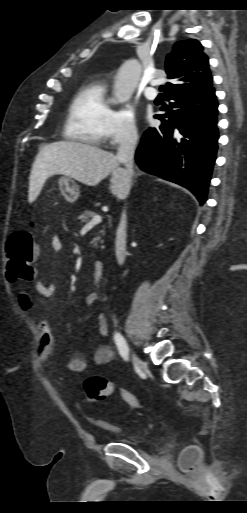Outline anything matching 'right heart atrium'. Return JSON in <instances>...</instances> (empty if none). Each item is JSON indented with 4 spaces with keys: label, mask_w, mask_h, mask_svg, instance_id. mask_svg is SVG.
Returning <instances> with one entry per match:
<instances>
[{
    "label": "right heart atrium",
    "mask_w": 247,
    "mask_h": 513,
    "mask_svg": "<svg viewBox=\"0 0 247 513\" xmlns=\"http://www.w3.org/2000/svg\"><path fill=\"white\" fill-rule=\"evenodd\" d=\"M137 134L136 119L131 107L125 106L111 111L104 134L109 147L131 142L136 139Z\"/></svg>",
    "instance_id": "1"
}]
</instances>
